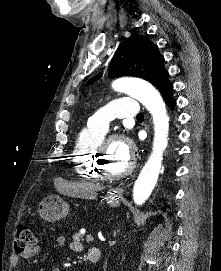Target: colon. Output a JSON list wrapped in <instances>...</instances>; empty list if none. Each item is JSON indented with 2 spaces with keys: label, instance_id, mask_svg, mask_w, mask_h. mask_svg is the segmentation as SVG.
I'll use <instances>...</instances> for the list:
<instances>
[{
  "label": "colon",
  "instance_id": "colon-1",
  "mask_svg": "<svg viewBox=\"0 0 221 271\" xmlns=\"http://www.w3.org/2000/svg\"><path fill=\"white\" fill-rule=\"evenodd\" d=\"M35 244L36 237L30 226L26 223H20L18 225L16 235L15 250L20 253L34 246Z\"/></svg>",
  "mask_w": 221,
  "mask_h": 271
}]
</instances>
